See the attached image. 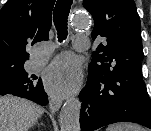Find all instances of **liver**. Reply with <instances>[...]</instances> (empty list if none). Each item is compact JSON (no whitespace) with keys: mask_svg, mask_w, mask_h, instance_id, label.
<instances>
[{"mask_svg":"<svg viewBox=\"0 0 151 131\" xmlns=\"http://www.w3.org/2000/svg\"><path fill=\"white\" fill-rule=\"evenodd\" d=\"M44 109L16 96L0 97V131H28Z\"/></svg>","mask_w":151,"mask_h":131,"instance_id":"obj_1","label":"liver"}]
</instances>
